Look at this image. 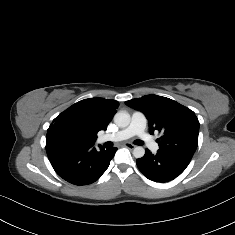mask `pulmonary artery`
Here are the masks:
<instances>
[{
    "label": "pulmonary artery",
    "mask_w": 235,
    "mask_h": 235,
    "mask_svg": "<svg viewBox=\"0 0 235 235\" xmlns=\"http://www.w3.org/2000/svg\"><path fill=\"white\" fill-rule=\"evenodd\" d=\"M146 127V116L140 111H133L130 122L125 128L116 132L104 134L97 139V142H121L134 136H141L149 139V136L145 133ZM150 149L153 152H156L158 150L157 144L150 143Z\"/></svg>",
    "instance_id": "1"
}]
</instances>
